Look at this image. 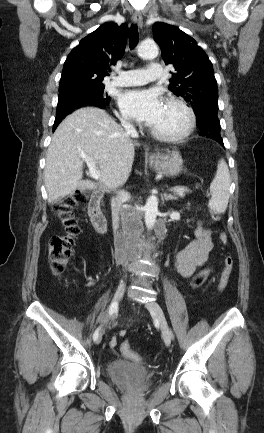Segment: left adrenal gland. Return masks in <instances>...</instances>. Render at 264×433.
I'll return each mask as SVG.
<instances>
[{"mask_svg": "<svg viewBox=\"0 0 264 433\" xmlns=\"http://www.w3.org/2000/svg\"><path fill=\"white\" fill-rule=\"evenodd\" d=\"M164 198H165L166 201H168V200H177V196L172 195V194H167V193H164Z\"/></svg>", "mask_w": 264, "mask_h": 433, "instance_id": "1", "label": "left adrenal gland"}]
</instances>
